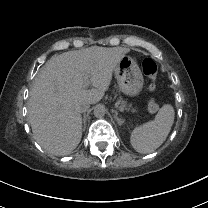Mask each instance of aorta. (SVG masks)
<instances>
[{"mask_svg": "<svg viewBox=\"0 0 208 208\" xmlns=\"http://www.w3.org/2000/svg\"><path fill=\"white\" fill-rule=\"evenodd\" d=\"M105 113H106V110L103 105L96 106L93 111V114L96 118H103Z\"/></svg>", "mask_w": 208, "mask_h": 208, "instance_id": "aorta-1", "label": "aorta"}]
</instances>
